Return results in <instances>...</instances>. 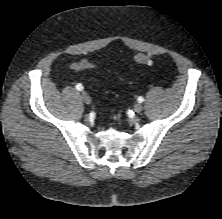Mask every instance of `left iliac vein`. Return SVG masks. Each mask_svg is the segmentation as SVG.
I'll return each mask as SVG.
<instances>
[{
  "label": "left iliac vein",
  "instance_id": "left-iliac-vein-1",
  "mask_svg": "<svg viewBox=\"0 0 222 219\" xmlns=\"http://www.w3.org/2000/svg\"><path fill=\"white\" fill-rule=\"evenodd\" d=\"M134 112L141 113L143 110V106L140 103H137L133 107Z\"/></svg>",
  "mask_w": 222,
  "mask_h": 219
}]
</instances>
